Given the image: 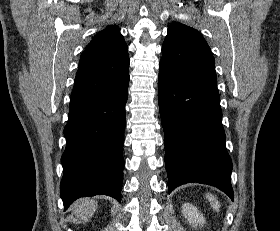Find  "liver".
<instances>
[{
	"label": "liver",
	"instance_id": "obj_1",
	"mask_svg": "<svg viewBox=\"0 0 280 231\" xmlns=\"http://www.w3.org/2000/svg\"><path fill=\"white\" fill-rule=\"evenodd\" d=\"M97 201L95 199H90V197H82L78 199L74 205V213L77 217H80L82 221H88L89 217L94 215L97 209Z\"/></svg>",
	"mask_w": 280,
	"mask_h": 231
}]
</instances>
